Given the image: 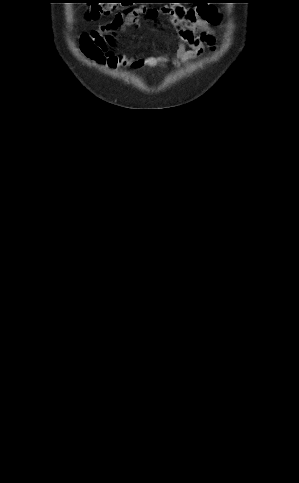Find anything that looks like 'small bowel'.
<instances>
[{
    "label": "small bowel",
    "mask_w": 299,
    "mask_h": 483,
    "mask_svg": "<svg viewBox=\"0 0 299 483\" xmlns=\"http://www.w3.org/2000/svg\"><path fill=\"white\" fill-rule=\"evenodd\" d=\"M208 15L204 19L199 10L184 6L163 7L151 6L127 7L116 14L105 26L82 34L80 47L83 54L97 65L110 69L123 67L139 68L164 67L167 64L181 66L190 64L200 57L206 48L215 49L216 39L209 24L219 21L218 11L211 5H205ZM166 14L176 28L180 42L175 53L169 55H151L145 57H129L115 50L116 38L113 33L136 26L140 18L156 21L160 14Z\"/></svg>",
    "instance_id": "c3829d8e"
}]
</instances>
